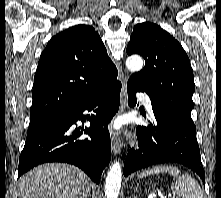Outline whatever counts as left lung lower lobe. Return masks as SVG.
<instances>
[{"label":"left lung lower lobe","mask_w":221,"mask_h":198,"mask_svg":"<svg viewBox=\"0 0 221 198\" xmlns=\"http://www.w3.org/2000/svg\"><path fill=\"white\" fill-rule=\"evenodd\" d=\"M129 106L136 105L137 87L127 84ZM155 121L148 127L136 129L138 150L131 149L126 157L123 174L131 173L161 163H179L195 171L205 184L196 127L179 122L162 111L153 108Z\"/></svg>","instance_id":"obj_1"}]
</instances>
